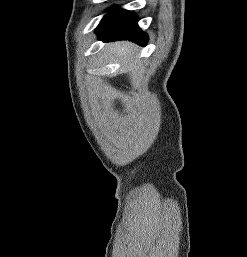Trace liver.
Masks as SVG:
<instances>
[{
	"label": "liver",
	"mask_w": 247,
	"mask_h": 257,
	"mask_svg": "<svg viewBox=\"0 0 247 257\" xmlns=\"http://www.w3.org/2000/svg\"><path fill=\"white\" fill-rule=\"evenodd\" d=\"M131 48V45L129 43L123 42V43H116L114 48H111V51L114 50V52L117 55H122L124 58L128 56V49Z\"/></svg>",
	"instance_id": "6515ba94"
}]
</instances>
